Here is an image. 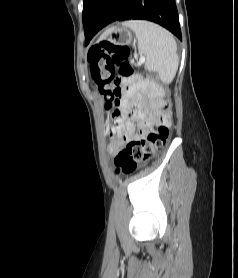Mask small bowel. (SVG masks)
Wrapping results in <instances>:
<instances>
[{
	"label": "small bowel",
	"mask_w": 238,
	"mask_h": 278,
	"mask_svg": "<svg viewBox=\"0 0 238 278\" xmlns=\"http://www.w3.org/2000/svg\"><path fill=\"white\" fill-rule=\"evenodd\" d=\"M155 102L146 90L145 83L135 78L124 84L117 109L114 113V127L112 128V141L109 151H119L125 143L138 141L146 134L157 119L154 110ZM136 127L138 133H135Z\"/></svg>",
	"instance_id": "c3829d8e"
}]
</instances>
